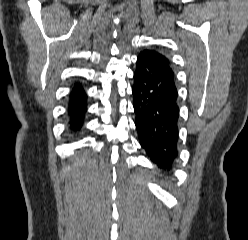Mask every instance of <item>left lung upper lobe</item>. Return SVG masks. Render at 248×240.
Masks as SVG:
<instances>
[{"instance_id": "5c2ea615", "label": "left lung upper lobe", "mask_w": 248, "mask_h": 240, "mask_svg": "<svg viewBox=\"0 0 248 240\" xmlns=\"http://www.w3.org/2000/svg\"><path fill=\"white\" fill-rule=\"evenodd\" d=\"M146 57L151 59L155 64H157L167 75L175 79V74L172 68L170 67V61L162 53H159L156 50H144L141 52Z\"/></svg>"}]
</instances>
